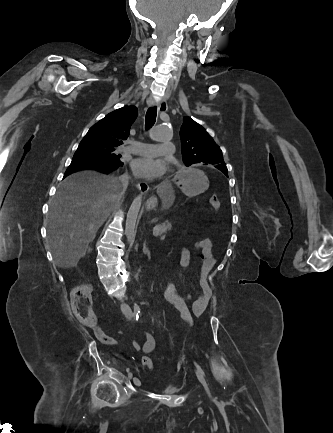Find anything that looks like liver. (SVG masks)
I'll list each match as a JSON object with an SVG mask.
<instances>
[{
  "label": "liver",
  "mask_w": 333,
  "mask_h": 433,
  "mask_svg": "<svg viewBox=\"0 0 333 433\" xmlns=\"http://www.w3.org/2000/svg\"><path fill=\"white\" fill-rule=\"evenodd\" d=\"M171 183H160L163 208L176 195ZM122 198L118 180L112 175L86 170L68 176L50 202L48 243L54 262L61 268L76 267L98 229Z\"/></svg>",
  "instance_id": "obj_1"
}]
</instances>
